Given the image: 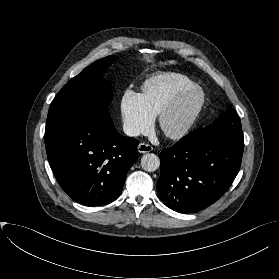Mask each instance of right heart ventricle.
<instances>
[{
	"instance_id": "right-heart-ventricle-1",
	"label": "right heart ventricle",
	"mask_w": 279,
	"mask_h": 279,
	"mask_svg": "<svg viewBox=\"0 0 279 279\" xmlns=\"http://www.w3.org/2000/svg\"><path fill=\"white\" fill-rule=\"evenodd\" d=\"M196 86V82L186 75L162 73L143 83L141 96L148 110L156 116L178 95Z\"/></svg>"
}]
</instances>
